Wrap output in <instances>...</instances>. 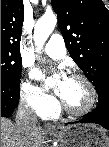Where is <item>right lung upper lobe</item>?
I'll use <instances>...</instances> for the list:
<instances>
[{
  "mask_svg": "<svg viewBox=\"0 0 109 147\" xmlns=\"http://www.w3.org/2000/svg\"><path fill=\"white\" fill-rule=\"evenodd\" d=\"M24 20L23 0H1V48L17 52Z\"/></svg>",
  "mask_w": 109,
  "mask_h": 147,
  "instance_id": "1",
  "label": "right lung upper lobe"
}]
</instances>
